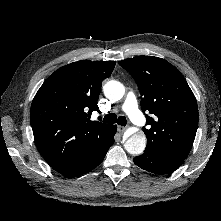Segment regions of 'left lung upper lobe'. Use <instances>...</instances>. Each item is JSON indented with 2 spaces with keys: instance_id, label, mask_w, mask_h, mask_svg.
<instances>
[{
  "instance_id": "5c2ea615",
  "label": "left lung upper lobe",
  "mask_w": 221,
  "mask_h": 221,
  "mask_svg": "<svg viewBox=\"0 0 221 221\" xmlns=\"http://www.w3.org/2000/svg\"><path fill=\"white\" fill-rule=\"evenodd\" d=\"M137 82L148 129L145 150L185 160L198 127V106L183 75L166 60L136 56L119 62Z\"/></svg>"
}]
</instances>
